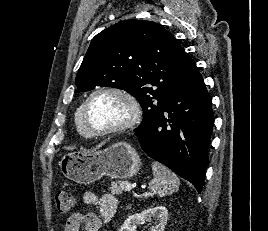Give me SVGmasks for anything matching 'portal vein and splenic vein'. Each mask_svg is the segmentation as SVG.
Listing matches in <instances>:
<instances>
[{
	"label": "portal vein and splenic vein",
	"mask_w": 268,
	"mask_h": 231,
	"mask_svg": "<svg viewBox=\"0 0 268 231\" xmlns=\"http://www.w3.org/2000/svg\"><path fill=\"white\" fill-rule=\"evenodd\" d=\"M132 187H134L133 185H130V184H126V190L127 191H130L132 189Z\"/></svg>",
	"instance_id": "1"
}]
</instances>
